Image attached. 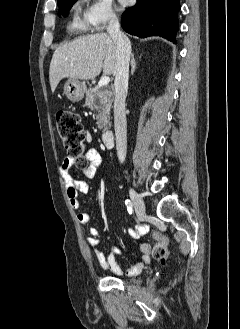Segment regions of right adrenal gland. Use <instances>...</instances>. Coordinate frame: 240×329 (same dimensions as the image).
Here are the masks:
<instances>
[{"label":"right adrenal gland","instance_id":"right-adrenal-gland-1","mask_svg":"<svg viewBox=\"0 0 240 329\" xmlns=\"http://www.w3.org/2000/svg\"><path fill=\"white\" fill-rule=\"evenodd\" d=\"M136 68V61L134 59V55H132V59H131V74L133 75L134 71Z\"/></svg>","mask_w":240,"mask_h":329}]
</instances>
